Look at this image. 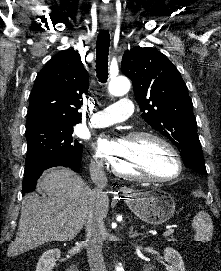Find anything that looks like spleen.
Masks as SVG:
<instances>
[{"mask_svg": "<svg viewBox=\"0 0 221 271\" xmlns=\"http://www.w3.org/2000/svg\"><path fill=\"white\" fill-rule=\"evenodd\" d=\"M192 225L194 227L195 241H210L213 231L212 219L204 209L198 211L193 217Z\"/></svg>", "mask_w": 221, "mask_h": 271, "instance_id": "obj_1", "label": "spleen"}]
</instances>
